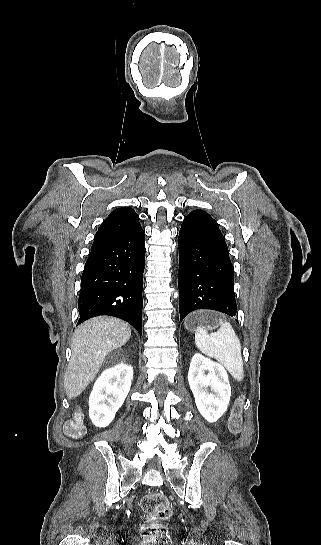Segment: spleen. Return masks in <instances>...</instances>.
<instances>
[{
  "label": "spleen",
  "instance_id": "spleen-1",
  "mask_svg": "<svg viewBox=\"0 0 321 545\" xmlns=\"http://www.w3.org/2000/svg\"><path fill=\"white\" fill-rule=\"evenodd\" d=\"M219 325L216 333H208L205 327H197L195 343L203 355L221 363L235 381H243L241 343L230 323L219 319Z\"/></svg>",
  "mask_w": 321,
  "mask_h": 545
}]
</instances>
